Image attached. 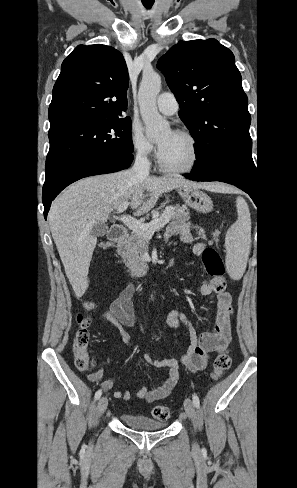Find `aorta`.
I'll return each mask as SVG.
<instances>
[{
  "mask_svg": "<svg viewBox=\"0 0 297 488\" xmlns=\"http://www.w3.org/2000/svg\"><path fill=\"white\" fill-rule=\"evenodd\" d=\"M160 90V75L154 71L144 72L140 82L138 101L146 134L150 137L161 134L169 127V123L159 114L156 106V97Z\"/></svg>",
  "mask_w": 297,
  "mask_h": 488,
  "instance_id": "1",
  "label": "aorta"
}]
</instances>
